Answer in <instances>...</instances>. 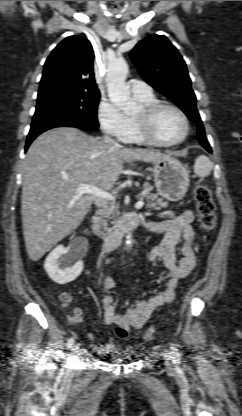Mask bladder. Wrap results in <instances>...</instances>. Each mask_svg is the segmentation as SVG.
<instances>
[{
	"label": "bladder",
	"mask_w": 242,
	"mask_h": 416,
	"mask_svg": "<svg viewBox=\"0 0 242 416\" xmlns=\"http://www.w3.org/2000/svg\"><path fill=\"white\" fill-rule=\"evenodd\" d=\"M117 361H118V362H122V361H125V359H124V358H122V357H117Z\"/></svg>",
	"instance_id": "1"
}]
</instances>
